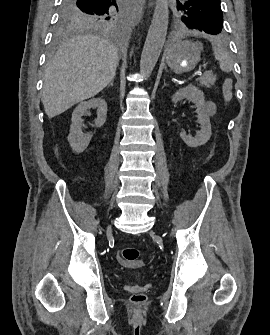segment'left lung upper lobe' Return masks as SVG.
<instances>
[{"mask_svg":"<svg viewBox=\"0 0 270 335\" xmlns=\"http://www.w3.org/2000/svg\"><path fill=\"white\" fill-rule=\"evenodd\" d=\"M182 12L181 20L191 29H197L210 35H217L223 29V14L220 0H186L177 2Z\"/></svg>","mask_w":270,"mask_h":335,"instance_id":"5c2ea615","label":"left lung upper lobe"}]
</instances>
